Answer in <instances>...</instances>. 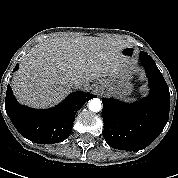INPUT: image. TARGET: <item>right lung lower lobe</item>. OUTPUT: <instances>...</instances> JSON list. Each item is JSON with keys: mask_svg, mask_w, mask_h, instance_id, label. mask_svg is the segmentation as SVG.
<instances>
[{"mask_svg": "<svg viewBox=\"0 0 178 178\" xmlns=\"http://www.w3.org/2000/svg\"><path fill=\"white\" fill-rule=\"evenodd\" d=\"M18 68L16 65L14 71ZM94 97L90 93L77 91L54 108L37 110L20 105L8 85L5 109L23 137L38 144H53L65 140L71 134L76 111Z\"/></svg>", "mask_w": 178, "mask_h": 178, "instance_id": "98d812e1", "label": "right lung lower lobe"}]
</instances>
